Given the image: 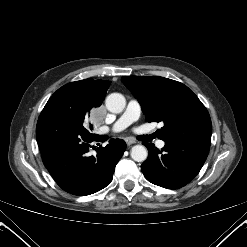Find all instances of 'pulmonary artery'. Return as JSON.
Wrapping results in <instances>:
<instances>
[{"label":"pulmonary artery","mask_w":247,"mask_h":247,"mask_svg":"<svg viewBox=\"0 0 247 247\" xmlns=\"http://www.w3.org/2000/svg\"><path fill=\"white\" fill-rule=\"evenodd\" d=\"M141 114V107L137 100L132 99L128 102L127 107L123 114L113 124L112 131L120 132L127 128L129 125L137 121ZM157 147H164L165 143L162 140H158L156 143Z\"/></svg>","instance_id":"obj_1"}]
</instances>
